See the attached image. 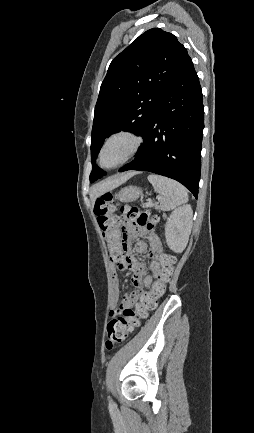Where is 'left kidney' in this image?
I'll use <instances>...</instances> for the list:
<instances>
[{
  "label": "left kidney",
  "instance_id": "1",
  "mask_svg": "<svg viewBox=\"0 0 254 433\" xmlns=\"http://www.w3.org/2000/svg\"><path fill=\"white\" fill-rule=\"evenodd\" d=\"M193 211L190 205L175 209L165 226L166 243L176 253H181L187 246L192 228Z\"/></svg>",
  "mask_w": 254,
  "mask_h": 433
}]
</instances>
